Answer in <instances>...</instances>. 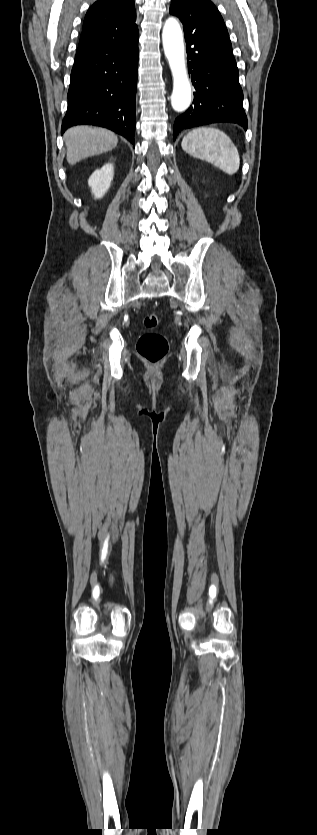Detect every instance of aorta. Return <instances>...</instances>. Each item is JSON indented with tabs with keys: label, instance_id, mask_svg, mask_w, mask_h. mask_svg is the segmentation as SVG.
I'll return each mask as SVG.
<instances>
[{
	"label": "aorta",
	"instance_id": "1",
	"mask_svg": "<svg viewBox=\"0 0 317 835\" xmlns=\"http://www.w3.org/2000/svg\"><path fill=\"white\" fill-rule=\"evenodd\" d=\"M163 49L173 78L171 105L174 111L184 112L191 104V84L185 65V48L179 22L170 17L162 31Z\"/></svg>",
	"mask_w": 317,
	"mask_h": 835
}]
</instances>
